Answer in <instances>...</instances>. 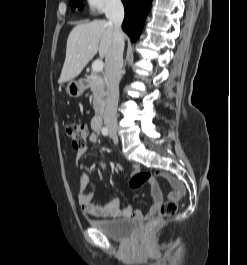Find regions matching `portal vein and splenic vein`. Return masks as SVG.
Returning a JSON list of instances; mask_svg holds the SVG:
<instances>
[{
    "label": "portal vein and splenic vein",
    "instance_id": "obj_1",
    "mask_svg": "<svg viewBox=\"0 0 247 265\" xmlns=\"http://www.w3.org/2000/svg\"><path fill=\"white\" fill-rule=\"evenodd\" d=\"M90 48V47H89ZM104 68V64L101 60H96L92 64V71L93 72H101Z\"/></svg>",
    "mask_w": 247,
    "mask_h": 265
}]
</instances>
